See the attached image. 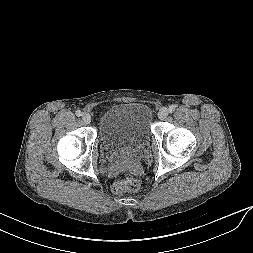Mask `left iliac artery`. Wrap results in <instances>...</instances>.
<instances>
[{
    "label": "left iliac artery",
    "mask_w": 253,
    "mask_h": 253,
    "mask_svg": "<svg viewBox=\"0 0 253 253\" xmlns=\"http://www.w3.org/2000/svg\"><path fill=\"white\" fill-rule=\"evenodd\" d=\"M169 113H173L175 111V106L171 105L168 108Z\"/></svg>",
    "instance_id": "1"
}]
</instances>
